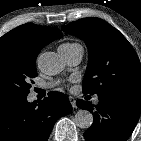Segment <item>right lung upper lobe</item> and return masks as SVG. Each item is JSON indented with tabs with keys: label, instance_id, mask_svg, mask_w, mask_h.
Listing matches in <instances>:
<instances>
[{
	"label": "right lung upper lobe",
	"instance_id": "1",
	"mask_svg": "<svg viewBox=\"0 0 141 141\" xmlns=\"http://www.w3.org/2000/svg\"><path fill=\"white\" fill-rule=\"evenodd\" d=\"M61 37L62 33L58 29L27 23L14 28L0 38V52L18 49L37 57L45 45Z\"/></svg>",
	"mask_w": 141,
	"mask_h": 141
}]
</instances>
